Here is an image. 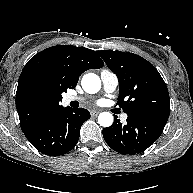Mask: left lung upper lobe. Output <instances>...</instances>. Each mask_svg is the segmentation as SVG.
<instances>
[{
	"label": "left lung upper lobe",
	"mask_w": 193,
	"mask_h": 193,
	"mask_svg": "<svg viewBox=\"0 0 193 193\" xmlns=\"http://www.w3.org/2000/svg\"><path fill=\"white\" fill-rule=\"evenodd\" d=\"M118 77V105L129 117L170 112L169 93L157 69L144 58L121 51H97Z\"/></svg>",
	"instance_id": "obj_1"
}]
</instances>
